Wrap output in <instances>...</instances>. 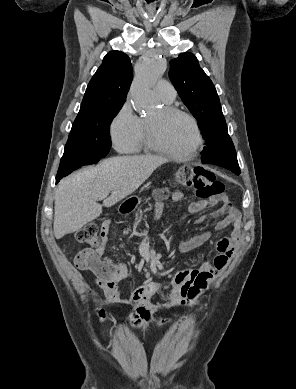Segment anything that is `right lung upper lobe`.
I'll use <instances>...</instances> for the list:
<instances>
[{
	"label": "right lung upper lobe",
	"instance_id": "cb5924a9",
	"mask_svg": "<svg viewBox=\"0 0 296 389\" xmlns=\"http://www.w3.org/2000/svg\"><path fill=\"white\" fill-rule=\"evenodd\" d=\"M132 79L129 57L121 51L109 52L90 80L76 118L123 106Z\"/></svg>",
	"mask_w": 296,
	"mask_h": 389
}]
</instances>
